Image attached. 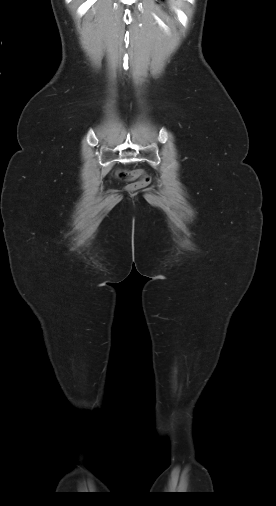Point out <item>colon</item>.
<instances>
[{"label":"colon","instance_id":"colon-1","mask_svg":"<svg viewBox=\"0 0 276 506\" xmlns=\"http://www.w3.org/2000/svg\"><path fill=\"white\" fill-rule=\"evenodd\" d=\"M118 177L124 181H132L137 179L129 185V189L133 191L139 190L149 183V177L142 170H136L133 172L119 170Z\"/></svg>","mask_w":276,"mask_h":506}]
</instances>
